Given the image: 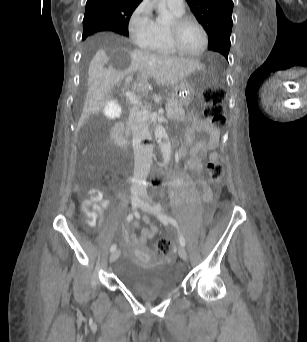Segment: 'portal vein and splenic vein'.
<instances>
[{
    "label": "portal vein and splenic vein",
    "mask_w": 307,
    "mask_h": 342,
    "mask_svg": "<svg viewBox=\"0 0 307 342\" xmlns=\"http://www.w3.org/2000/svg\"><path fill=\"white\" fill-rule=\"evenodd\" d=\"M132 80V76H127L123 81L121 88L126 90V100L130 101L132 105H135L138 102L139 96L138 94L133 93V88L131 86H128ZM137 106L140 108L142 105L139 103ZM166 109L169 111L171 108L168 106Z\"/></svg>",
    "instance_id": "obj_1"
}]
</instances>
